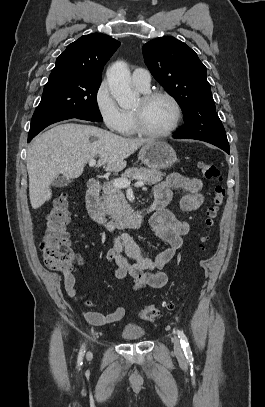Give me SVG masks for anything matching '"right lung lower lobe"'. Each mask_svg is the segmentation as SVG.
Instances as JSON below:
<instances>
[{
	"label": "right lung lower lobe",
	"instance_id": "right-lung-lower-lobe-1",
	"mask_svg": "<svg viewBox=\"0 0 265 407\" xmlns=\"http://www.w3.org/2000/svg\"><path fill=\"white\" fill-rule=\"evenodd\" d=\"M79 119L89 120V121H95V120H91V119H88V118H79ZM32 138H33V136H28V142L31 141Z\"/></svg>",
	"mask_w": 265,
	"mask_h": 407
}]
</instances>
